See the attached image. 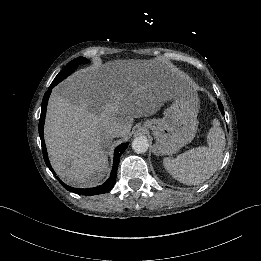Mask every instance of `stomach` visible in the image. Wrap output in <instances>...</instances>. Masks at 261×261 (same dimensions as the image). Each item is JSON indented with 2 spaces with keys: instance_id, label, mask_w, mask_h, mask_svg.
Masks as SVG:
<instances>
[{
  "instance_id": "0dacf381",
  "label": "stomach",
  "mask_w": 261,
  "mask_h": 261,
  "mask_svg": "<svg viewBox=\"0 0 261 261\" xmlns=\"http://www.w3.org/2000/svg\"><path fill=\"white\" fill-rule=\"evenodd\" d=\"M198 110L197 93L191 86H186L175 91L172 105L165 110L163 119H147L143 122V126L151 129L156 138L153 146L156 155L175 154L193 140L198 128Z\"/></svg>"
}]
</instances>
